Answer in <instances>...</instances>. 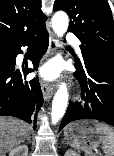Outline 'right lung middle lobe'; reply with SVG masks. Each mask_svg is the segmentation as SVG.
Segmentation results:
<instances>
[{"mask_svg": "<svg viewBox=\"0 0 114 156\" xmlns=\"http://www.w3.org/2000/svg\"><path fill=\"white\" fill-rule=\"evenodd\" d=\"M13 56L6 46L0 45V68L12 65Z\"/></svg>", "mask_w": 114, "mask_h": 156, "instance_id": "dd1d6c3e", "label": "right lung middle lobe"}]
</instances>
